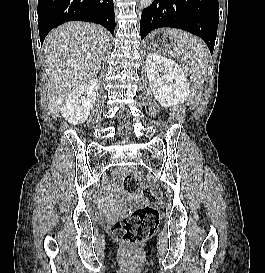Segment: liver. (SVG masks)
<instances>
[{"mask_svg": "<svg viewBox=\"0 0 265 273\" xmlns=\"http://www.w3.org/2000/svg\"><path fill=\"white\" fill-rule=\"evenodd\" d=\"M108 48L107 32L91 23H64L48 34L44 52L49 68L47 100L53 118L76 87L98 74Z\"/></svg>", "mask_w": 265, "mask_h": 273, "instance_id": "1", "label": "liver"}]
</instances>
